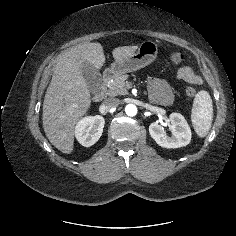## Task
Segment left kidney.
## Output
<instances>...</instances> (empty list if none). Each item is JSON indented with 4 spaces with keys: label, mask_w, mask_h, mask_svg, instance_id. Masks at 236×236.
<instances>
[{
    "label": "left kidney",
    "mask_w": 236,
    "mask_h": 236,
    "mask_svg": "<svg viewBox=\"0 0 236 236\" xmlns=\"http://www.w3.org/2000/svg\"><path fill=\"white\" fill-rule=\"evenodd\" d=\"M171 136H167L164 127L158 122L149 126V133L155 142L163 148H180L191 141V130L185 118L179 113L170 115Z\"/></svg>",
    "instance_id": "left-kidney-1"
}]
</instances>
